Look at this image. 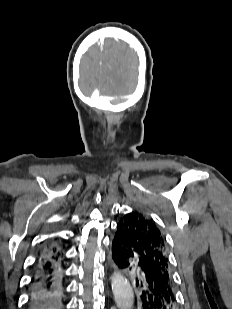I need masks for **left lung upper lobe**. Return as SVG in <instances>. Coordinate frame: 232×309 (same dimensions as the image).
<instances>
[{
  "label": "left lung upper lobe",
  "mask_w": 232,
  "mask_h": 309,
  "mask_svg": "<svg viewBox=\"0 0 232 309\" xmlns=\"http://www.w3.org/2000/svg\"><path fill=\"white\" fill-rule=\"evenodd\" d=\"M118 224L122 226L136 256L160 269L169 278L174 292L166 240L155 222L144 214L133 211L124 215Z\"/></svg>",
  "instance_id": "obj_1"
}]
</instances>
